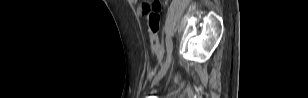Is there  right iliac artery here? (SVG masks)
<instances>
[{
    "instance_id": "82829eb1",
    "label": "right iliac artery",
    "mask_w": 308,
    "mask_h": 98,
    "mask_svg": "<svg viewBox=\"0 0 308 98\" xmlns=\"http://www.w3.org/2000/svg\"><path fill=\"white\" fill-rule=\"evenodd\" d=\"M165 41H166L167 51L171 52L172 48H173V45H172V41H171L170 37L167 36Z\"/></svg>"
}]
</instances>
